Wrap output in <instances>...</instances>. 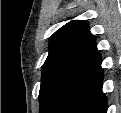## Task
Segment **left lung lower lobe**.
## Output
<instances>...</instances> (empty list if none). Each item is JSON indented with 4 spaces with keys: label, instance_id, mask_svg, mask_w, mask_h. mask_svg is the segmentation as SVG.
<instances>
[{
    "label": "left lung lower lobe",
    "instance_id": "0a47b994",
    "mask_svg": "<svg viewBox=\"0 0 121 113\" xmlns=\"http://www.w3.org/2000/svg\"><path fill=\"white\" fill-rule=\"evenodd\" d=\"M102 80L103 75L71 113H107V100L102 92Z\"/></svg>",
    "mask_w": 121,
    "mask_h": 113
}]
</instances>
